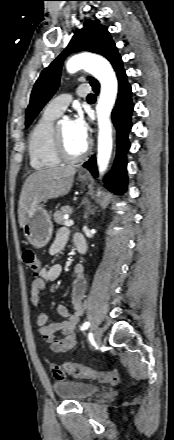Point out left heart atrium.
I'll return each mask as SVG.
<instances>
[{"mask_svg": "<svg viewBox=\"0 0 174 440\" xmlns=\"http://www.w3.org/2000/svg\"><path fill=\"white\" fill-rule=\"evenodd\" d=\"M74 136L81 142L86 143L89 134V125L82 113H78L71 122Z\"/></svg>", "mask_w": 174, "mask_h": 440, "instance_id": "obj_1", "label": "left heart atrium"}]
</instances>
